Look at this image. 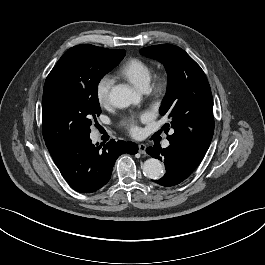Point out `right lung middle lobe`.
<instances>
[{
	"instance_id": "dd1d6c3e",
	"label": "right lung middle lobe",
	"mask_w": 265,
	"mask_h": 265,
	"mask_svg": "<svg viewBox=\"0 0 265 265\" xmlns=\"http://www.w3.org/2000/svg\"><path fill=\"white\" fill-rule=\"evenodd\" d=\"M125 54L124 49L82 44L67 50L54 66L42 100L43 137L51 155L90 135L101 113L98 83Z\"/></svg>"
}]
</instances>
